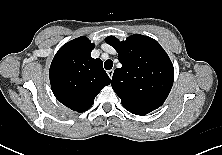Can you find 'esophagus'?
Returning <instances> with one entry per match:
<instances>
[{
	"mask_svg": "<svg viewBox=\"0 0 222 155\" xmlns=\"http://www.w3.org/2000/svg\"><path fill=\"white\" fill-rule=\"evenodd\" d=\"M113 73H114V71L112 69L107 71V74L110 78H112Z\"/></svg>",
	"mask_w": 222,
	"mask_h": 155,
	"instance_id": "esophagus-1",
	"label": "esophagus"
}]
</instances>
